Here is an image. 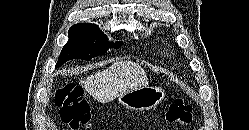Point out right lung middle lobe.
Returning <instances> with one entry per match:
<instances>
[{
  "instance_id": "obj_1",
  "label": "right lung middle lobe",
  "mask_w": 249,
  "mask_h": 130,
  "mask_svg": "<svg viewBox=\"0 0 249 130\" xmlns=\"http://www.w3.org/2000/svg\"><path fill=\"white\" fill-rule=\"evenodd\" d=\"M69 40L63 47L56 68L72 59L91 60L103 55L108 48L118 49L121 41L110 43L100 29L91 23H78L68 32Z\"/></svg>"
}]
</instances>
